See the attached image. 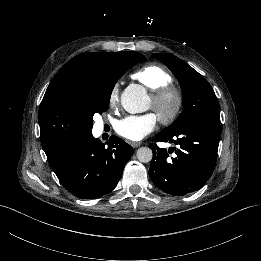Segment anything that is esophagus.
Instances as JSON below:
<instances>
[{
    "instance_id": "1",
    "label": "esophagus",
    "mask_w": 261,
    "mask_h": 261,
    "mask_svg": "<svg viewBox=\"0 0 261 261\" xmlns=\"http://www.w3.org/2000/svg\"><path fill=\"white\" fill-rule=\"evenodd\" d=\"M131 145H132L133 148H137V147H139L141 145V142L134 141V142L131 143Z\"/></svg>"
}]
</instances>
